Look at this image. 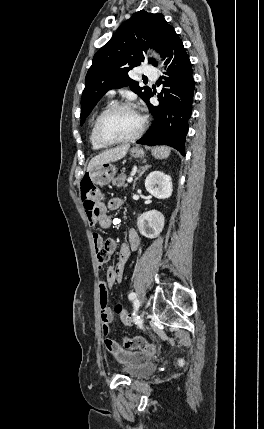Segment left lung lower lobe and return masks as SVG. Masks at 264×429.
Segmentation results:
<instances>
[{
    "instance_id": "obj_1",
    "label": "left lung lower lobe",
    "mask_w": 264,
    "mask_h": 429,
    "mask_svg": "<svg viewBox=\"0 0 264 429\" xmlns=\"http://www.w3.org/2000/svg\"><path fill=\"white\" fill-rule=\"evenodd\" d=\"M160 54L168 65L159 105L148 107L154 123L148 133L137 141L139 144L168 145L185 155V138L191 118L194 96L192 66L182 41L172 29L166 36ZM153 96L151 92L150 97ZM149 97V98H150Z\"/></svg>"
}]
</instances>
